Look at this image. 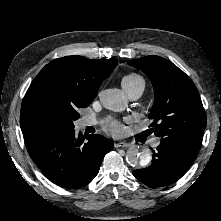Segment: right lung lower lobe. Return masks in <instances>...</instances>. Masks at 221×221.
I'll use <instances>...</instances> for the list:
<instances>
[{
	"mask_svg": "<svg viewBox=\"0 0 221 221\" xmlns=\"http://www.w3.org/2000/svg\"><path fill=\"white\" fill-rule=\"evenodd\" d=\"M87 142L74 130L46 133L26 142L31 159L56 185L78 189L90 183L99 172L104 156L113 142L99 134H90Z\"/></svg>",
	"mask_w": 221,
	"mask_h": 221,
	"instance_id": "98d812e1",
	"label": "right lung lower lobe"
}]
</instances>
